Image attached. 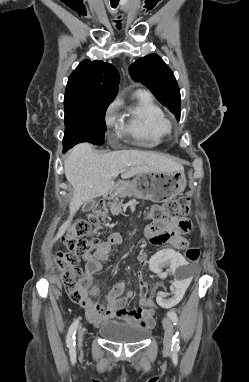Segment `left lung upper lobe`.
<instances>
[{"label": "left lung upper lobe", "mask_w": 249, "mask_h": 382, "mask_svg": "<svg viewBox=\"0 0 249 382\" xmlns=\"http://www.w3.org/2000/svg\"><path fill=\"white\" fill-rule=\"evenodd\" d=\"M133 80L148 87L163 105L180 118L181 96L176 79L170 68L156 54L138 59L129 67Z\"/></svg>", "instance_id": "5c2ea615"}]
</instances>
